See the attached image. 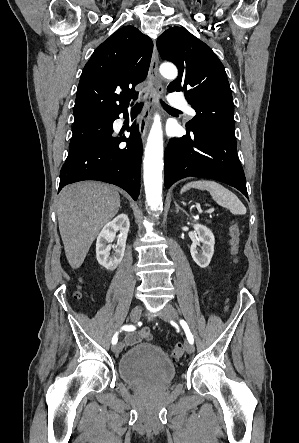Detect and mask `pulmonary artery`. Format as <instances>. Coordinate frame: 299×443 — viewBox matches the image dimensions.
Here are the masks:
<instances>
[{
    "label": "pulmonary artery",
    "mask_w": 299,
    "mask_h": 443,
    "mask_svg": "<svg viewBox=\"0 0 299 443\" xmlns=\"http://www.w3.org/2000/svg\"><path fill=\"white\" fill-rule=\"evenodd\" d=\"M168 101L172 107L184 110L190 116H193L195 114L194 110L187 105L183 95L180 93H171L168 96Z\"/></svg>",
    "instance_id": "pulmonary-artery-1"
}]
</instances>
